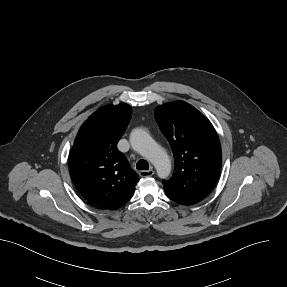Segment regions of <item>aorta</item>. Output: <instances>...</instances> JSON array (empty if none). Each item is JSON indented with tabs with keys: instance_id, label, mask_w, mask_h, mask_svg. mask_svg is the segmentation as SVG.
<instances>
[{
	"instance_id": "762f6f07",
	"label": "aorta",
	"mask_w": 287,
	"mask_h": 287,
	"mask_svg": "<svg viewBox=\"0 0 287 287\" xmlns=\"http://www.w3.org/2000/svg\"><path fill=\"white\" fill-rule=\"evenodd\" d=\"M130 142L133 149L146 157L156 168L161 179L169 176L171 162L165 150L159 146L148 132L136 128L131 132Z\"/></svg>"
}]
</instances>
